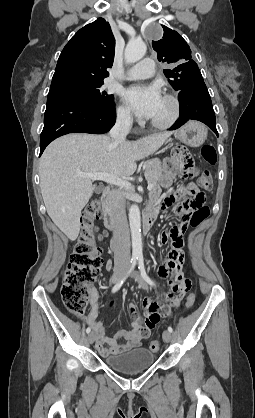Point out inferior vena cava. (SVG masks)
<instances>
[{
    "mask_svg": "<svg viewBox=\"0 0 255 418\" xmlns=\"http://www.w3.org/2000/svg\"><path fill=\"white\" fill-rule=\"evenodd\" d=\"M133 124L130 113H120L110 137L115 142L124 141ZM113 207V250L116 261L130 260V234L125 211V202L121 192L114 190L111 195Z\"/></svg>",
    "mask_w": 255,
    "mask_h": 418,
    "instance_id": "inferior-vena-cava-1",
    "label": "inferior vena cava"
}]
</instances>
